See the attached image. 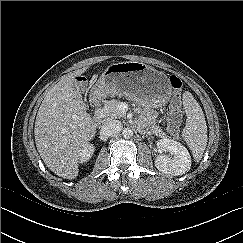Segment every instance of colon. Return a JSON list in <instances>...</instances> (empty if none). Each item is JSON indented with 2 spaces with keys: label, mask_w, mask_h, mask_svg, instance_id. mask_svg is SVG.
Wrapping results in <instances>:
<instances>
[{
  "label": "colon",
  "mask_w": 243,
  "mask_h": 243,
  "mask_svg": "<svg viewBox=\"0 0 243 243\" xmlns=\"http://www.w3.org/2000/svg\"><path fill=\"white\" fill-rule=\"evenodd\" d=\"M169 82L171 88L174 91V96L171 101L169 114L167 116V127L171 135L177 136L180 132L183 119L180 101V91L182 89L183 83L177 76H171Z\"/></svg>",
  "instance_id": "1"
}]
</instances>
